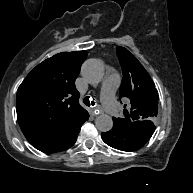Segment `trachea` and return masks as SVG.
<instances>
[{"mask_svg": "<svg viewBox=\"0 0 193 193\" xmlns=\"http://www.w3.org/2000/svg\"><path fill=\"white\" fill-rule=\"evenodd\" d=\"M83 102H84V104H85L86 106H94V105H95L94 99H93V100L90 99L89 96H86V97L84 98Z\"/></svg>", "mask_w": 193, "mask_h": 193, "instance_id": "1", "label": "trachea"}]
</instances>
